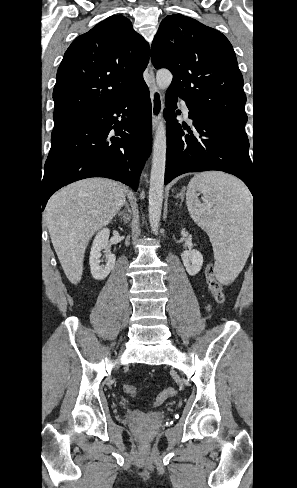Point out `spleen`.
I'll return each mask as SVG.
<instances>
[{"mask_svg": "<svg viewBox=\"0 0 297 488\" xmlns=\"http://www.w3.org/2000/svg\"><path fill=\"white\" fill-rule=\"evenodd\" d=\"M196 192L202 194L201 203ZM187 207L213 245L222 282L233 280L250 252L251 195L237 178L222 172L195 175L187 191Z\"/></svg>", "mask_w": 297, "mask_h": 488, "instance_id": "1", "label": "spleen"}]
</instances>
